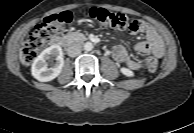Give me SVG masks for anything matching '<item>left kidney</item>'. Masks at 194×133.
I'll return each instance as SVG.
<instances>
[{
    "instance_id": "5707ae66",
    "label": "left kidney",
    "mask_w": 194,
    "mask_h": 133,
    "mask_svg": "<svg viewBox=\"0 0 194 133\" xmlns=\"http://www.w3.org/2000/svg\"><path fill=\"white\" fill-rule=\"evenodd\" d=\"M120 71L122 74H124L125 76H128V77H131L134 75L130 69L125 68V67L121 68Z\"/></svg>"
}]
</instances>
